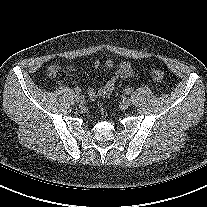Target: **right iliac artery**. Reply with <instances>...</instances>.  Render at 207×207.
Masks as SVG:
<instances>
[{"mask_svg": "<svg viewBox=\"0 0 207 207\" xmlns=\"http://www.w3.org/2000/svg\"><path fill=\"white\" fill-rule=\"evenodd\" d=\"M75 92H76L77 94H80V93H81V89H80L79 87H76V88H75Z\"/></svg>", "mask_w": 207, "mask_h": 207, "instance_id": "82829eb1", "label": "right iliac artery"}]
</instances>
